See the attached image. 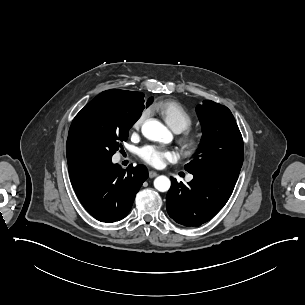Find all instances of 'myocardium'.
I'll list each match as a JSON object with an SVG mask.
<instances>
[{
	"label": "myocardium",
	"mask_w": 305,
	"mask_h": 305,
	"mask_svg": "<svg viewBox=\"0 0 305 305\" xmlns=\"http://www.w3.org/2000/svg\"><path fill=\"white\" fill-rule=\"evenodd\" d=\"M181 143L187 154H195L203 145V136L194 131H187L181 138Z\"/></svg>",
	"instance_id": "obj_1"
}]
</instances>
